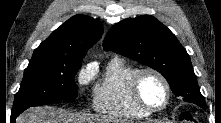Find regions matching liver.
<instances>
[{"mask_svg": "<svg viewBox=\"0 0 221 123\" xmlns=\"http://www.w3.org/2000/svg\"><path fill=\"white\" fill-rule=\"evenodd\" d=\"M96 121L106 120L92 119L85 114H74L51 106L29 108L16 119V123H92Z\"/></svg>", "mask_w": 221, "mask_h": 123, "instance_id": "liver-1", "label": "liver"}]
</instances>
